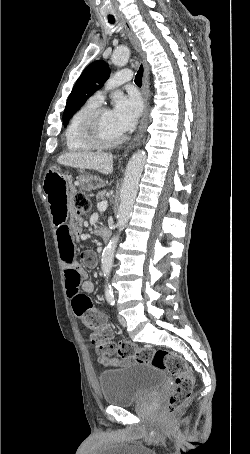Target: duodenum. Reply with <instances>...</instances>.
Listing matches in <instances>:
<instances>
[{"label":"duodenum","mask_w":250,"mask_h":454,"mask_svg":"<svg viewBox=\"0 0 250 454\" xmlns=\"http://www.w3.org/2000/svg\"><path fill=\"white\" fill-rule=\"evenodd\" d=\"M101 237L105 243H108L111 240V233L108 229L103 228L100 231Z\"/></svg>","instance_id":"1"}]
</instances>
